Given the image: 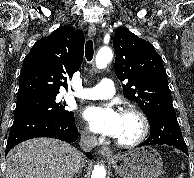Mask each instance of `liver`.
Here are the masks:
<instances>
[{
    "instance_id": "liver-1",
    "label": "liver",
    "mask_w": 194,
    "mask_h": 178,
    "mask_svg": "<svg viewBox=\"0 0 194 178\" xmlns=\"http://www.w3.org/2000/svg\"><path fill=\"white\" fill-rule=\"evenodd\" d=\"M85 164L75 147L53 138H35L7 155L4 178H73Z\"/></svg>"
}]
</instances>
